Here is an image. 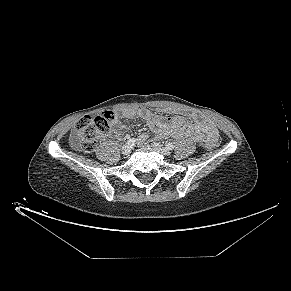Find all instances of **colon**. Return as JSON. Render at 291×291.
<instances>
[{
	"label": "colon",
	"instance_id": "obj_1",
	"mask_svg": "<svg viewBox=\"0 0 291 291\" xmlns=\"http://www.w3.org/2000/svg\"><path fill=\"white\" fill-rule=\"evenodd\" d=\"M117 122V115L114 112H105L95 117L85 116L80 119L73 129L70 137L72 145L85 152H91L95 149L97 143L105 139ZM220 138L217 132L212 133L205 145L209 149L219 146Z\"/></svg>",
	"mask_w": 291,
	"mask_h": 291
}]
</instances>
